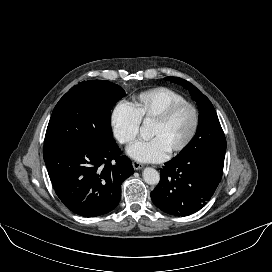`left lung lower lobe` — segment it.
I'll return each instance as SVG.
<instances>
[{
  "label": "left lung lower lobe",
  "mask_w": 272,
  "mask_h": 272,
  "mask_svg": "<svg viewBox=\"0 0 272 272\" xmlns=\"http://www.w3.org/2000/svg\"><path fill=\"white\" fill-rule=\"evenodd\" d=\"M224 162L200 155L176 156L160 169L151 199L160 210L187 216L203 208L214 194Z\"/></svg>",
  "instance_id": "obj_1"
}]
</instances>
